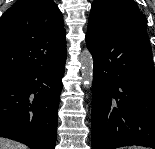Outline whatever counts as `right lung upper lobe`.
Masks as SVG:
<instances>
[{"instance_id":"obj_1","label":"right lung upper lobe","mask_w":155,"mask_h":149,"mask_svg":"<svg viewBox=\"0 0 155 149\" xmlns=\"http://www.w3.org/2000/svg\"><path fill=\"white\" fill-rule=\"evenodd\" d=\"M66 54L62 14L53 0H20L0 19V72L24 73Z\"/></svg>"}]
</instances>
